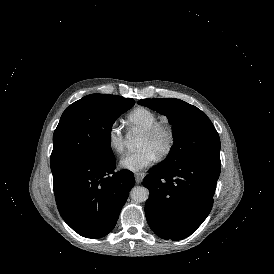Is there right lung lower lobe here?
<instances>
[{
	"mask_svg": "<svg viewBox=\"0 0 274 274\" xmlns=\"http://www.w3.org/2000/svg\"><path fill=\"white\" fill-rule=\"evenodd\" d=\"M115 158L72 160L51 167L58 210L78 234L100 238L115 227L129 191L133 173L114 172Z\"/></svg>",
	"mask_w": 274,
	"mask_h": 274,
	"instance_id": "right-lung-lower-lobe-1",
	"label": "right lung lower lobe"
}]
</instances>
